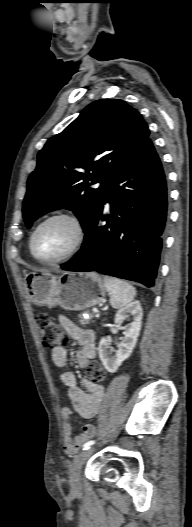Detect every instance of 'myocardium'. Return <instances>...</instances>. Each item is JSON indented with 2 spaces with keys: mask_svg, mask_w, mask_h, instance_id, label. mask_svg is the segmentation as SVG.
I'll use <instances>...</instances> for the list:
<instances>
[{
  "mask_svg": "<svg viewBox=\"0 0 192 527\" xmlns=\"http://www.w3.org/2000/svg\"><path fill=\"white\" fill-rule=\"evenodd\" d=\"M58 218L67 219L74 225L75 230H76L75 240L72 246L69 248V250L65 252L64 254L58 257L52 258V259L41 258L38 256V254L36 253V249H35V241H36L37 234L39 230L46 223H48L51 220L58 219ZM85 239H86V228H85V225L82 219L77 214L71 211H57V212H54L46 216L36 225L30 237V251L33 257L37 261L44 263V264H55V263L68 260L71 257H73L81 249V247L83 246L85 242Z\"/></svg>",
  "mask_w": 192,
  "mask_h": 527,
  "instance_id": "myocardium-1",
  "label": "myocardium"
}]
</instances>
